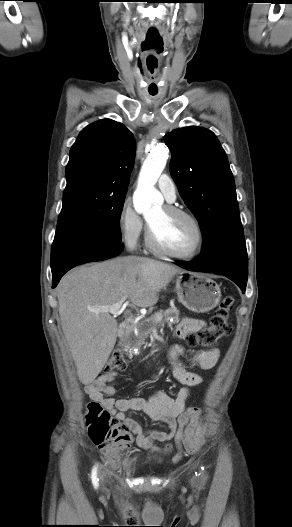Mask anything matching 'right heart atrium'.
<instances>
[{
	"instance_id": "d8ad5b80",
	"label": "right heart atrium",
	"mask_w": 292,
	"mask_h": 527,
	"mask_svg": "<svg viewBox=\"0 0 292 527\" xmlns=\"http://www.w3.org/2000/svg\"><path fill=\"white\" fill-rule=\"evenodd\" d=\"M118 227L122 241L128 248L135 249L143 234L144 223L128 200H125L120 208Z\"/></svg>"
}]
</instances>
